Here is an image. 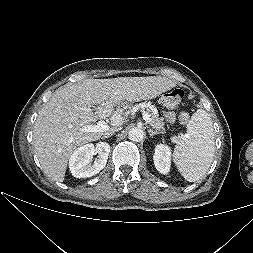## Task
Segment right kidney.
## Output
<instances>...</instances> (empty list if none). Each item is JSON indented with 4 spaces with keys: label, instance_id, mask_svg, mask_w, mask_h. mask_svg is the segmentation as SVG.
<instances>
[{
    "label": "right kidney",
    "instance_id": "obj_1",
    "mask_svg": "<svg viewBox=\"0 0 253 253\" xmlns=\"http://www.w3.org/2000/svg\"><path fill=\"white\" fill-rule=\"evenodd\" d=\"M110 153V145L106 142L86 144L79 147L70 157L69 169L76 178H86L98 174L106 165ZM98 159L91 164L93 155Z\"/></svg>",
    "mask_w": 253,
    "mask_h": 253
}]
</instances>
